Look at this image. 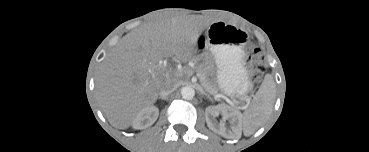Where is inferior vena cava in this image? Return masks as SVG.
I'll use <instances>...</instances> for the list:
<instances>
[{
	"instance_id": "1",
	"label": "inferior vena cava",
	"mask_w": 369,
	"mask_h": 152,
	"mask_svg": "<svg viewBox=\"0 0 369 152\" xmlns=\"http://www.w3.org/2000/svg\"><path fill=\"white\" fill-rule=\"evenodd\" d=\"M178 87V83L172 79H167L159 92L160 97L164 98Z\"/></svg>"
}]
</instances>
